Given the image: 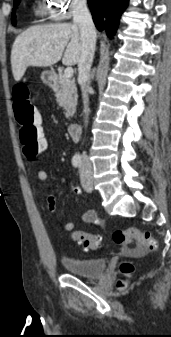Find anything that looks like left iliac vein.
<instances>
[{"instance_id": "1", "label": "left iliac vein", "mask_w": 171, "mask_h": 337, "mask_svg": "<svg viewBox=\"0 0 171 337\" xmlns=\"http://www.w3.org/2000/svg\"><path fill=\"white\" fill-rule=\"evenodd\" d=\"M80 179L84 190L86 192H91L93 190L92 170L90 168L82 167L80 169Z\"/></svg>"}]
</instances>
